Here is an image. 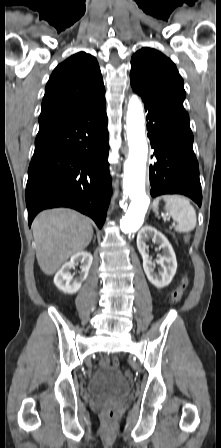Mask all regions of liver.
<instances>
[{
	"label": "liver",
	"mask_w": 221,
	"mask_h": 448,
	"mask_svg": "<svg viewBox=\"0 0 221 448\" xmlns=\"http://www.w3.org/2000/svg\"><path fill=\"white\" fill-rule=\"evenodd\" d=\"M38 265L53 275L71 256L91 242V220L71 209L45 210L32 224Z\"/></svg>",
	"instance_id": "obj_1"
}]
</instances>
